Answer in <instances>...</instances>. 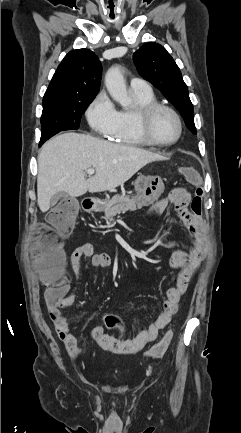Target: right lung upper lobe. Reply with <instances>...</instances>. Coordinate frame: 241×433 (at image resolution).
<instances>
[{"label": "right lung upper lobe", "mask_w": 241, "mask_h": 433, "mask_svg": "<svg viewBox=\"0 0 241 433\" xmlns=\"http://www.w3.org/2000/svg\"><path fill=\"white\" fill-rule=\"evenodd\" d=\"M102 66L89 49L69 52L58 66L47 88L43 102L95 98L99 91Z\"/></svg>", "instance_id": "right-lung-upper-lobe-1"}]
</instances>
